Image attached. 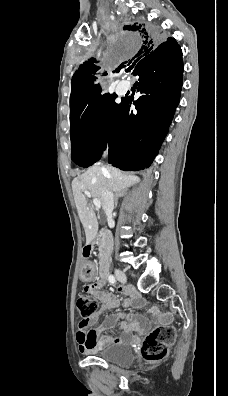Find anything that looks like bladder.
<instances>
[{
	"mask_svg": "<svg viewBox=\"0 0 228 396\" xmlns=\"http://www.w3.org/2000/svg\"><path fill=\"white\" fill-rule=\"evenodd\" d=\"M93 355L104 361L120 366L131 364L134 359V351L129 344L113 343L99 348L93 352Z\"/></svg>",
	"mask_w": 228,
	"mask_h": 396,
	"instance_id": "1",
	"label": "bladder"
}]
</instances>
